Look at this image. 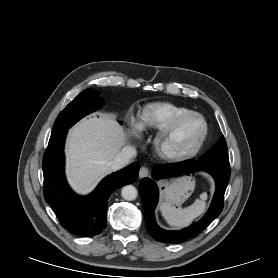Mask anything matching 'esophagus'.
Here are the masks:
<instances>
[{"mask_svg": "<svg viewBox=\"0 0 278 278\" xmlns=\"http://www.w3.org/2000/svg\"><path fill=\"white\" fill-rule=\"evenodd\" d=\"M150 174L149 169L146 167H141L139 170V177L140 178H144V177H148Z\"/></svg>", "mask_w": 278, "mask_h": 278, "instance_id": "obj_1", "label": "esophagus"}]
</instances>
